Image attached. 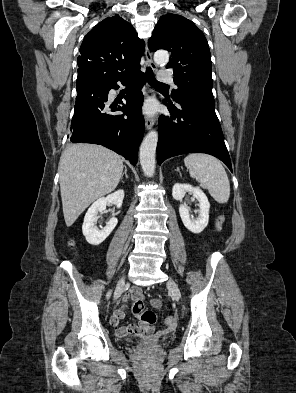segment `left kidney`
<instances>
[{
	"instance_id": "1",
	"label": "left kidney",
	"mask_w": 296,
	"mask_h": 393,
	"mask_svg": "<svg viewBox=\"0 0 296 393\" xmlns=\"http://www.w3.org/2000/svg\"><path fill=\"white\" fill-rule=\"evenodd\" d=\"M186 192H189L199 202V215L197 219H191L189 210L185 205L179 206V213L184 226L192 233L199 234L208 225L210 203L205 193L198 187L189 184H175L172 189V196L175 200L181 201Z\"/></svg>"
}]
</instances>
